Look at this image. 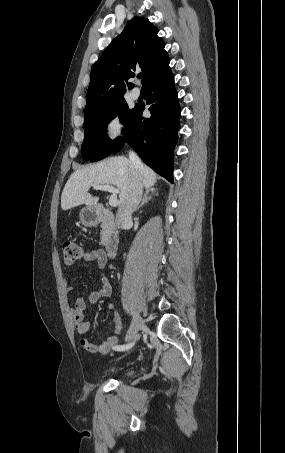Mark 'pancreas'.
<instances>
[{
    "label": "pancreas",
    "mask_w": 285,
    "mask_h": 453,
    "mask_svg": "<svg viewBox=\"0 0 285 453\" xmlns=\"http://www.w3.org/2000/svg\"><path fill=\"white\" fill-rule=\"evenodd\" d=\"M102 231H101V241L104 242L107 239V234L110 230V227L107 224H102L101 225Z\"/></svg>",
    "instance_id": "obj_1"
}]
</instances>
